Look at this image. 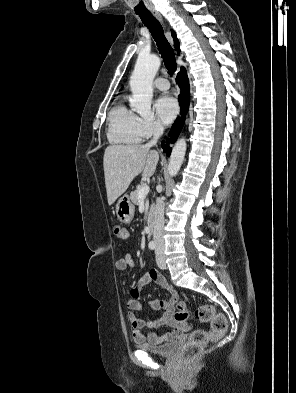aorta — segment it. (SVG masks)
<instances>
[{
    "mask_svg": "<svg viewBox=\"0 0 296 393\" xmlns=\"http://www.w3.org/2000/svg\"><path fill=\"white\" fill-rule=\"evenodd\" d=\"M160 58L156 55L139 54L134 70L130 77V88L132 92L131 105L142 117L152 115L151 103L153 98V80L160 67ZM187 144L185 138L179 139L171 152L168 173L176 176L184 161Z\"/></svg>",
    "mask_w": 296,
    "mask_h": 393,
    "instance_id": "obj_1",
    "label": "aorta"
}]
</instances>
